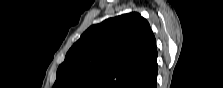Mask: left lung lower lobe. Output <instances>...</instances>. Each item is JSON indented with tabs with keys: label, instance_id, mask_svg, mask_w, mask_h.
Returning a JSON list of instances; mask_svg holds the SVG:
<instances>
[{
	"label": "left lung lower lobe",
	"instance_id": "0a47b994",
	"mask_svg": "<svg viewBox=\"0 0 223 88\" xmlns=\"http://www.w3.org/2000/svg\"><path fill=\"white\" fill-rule=\"evenodd\" d=\"M157 71V65L153 66L143 77L133 83L130 88H156Z\"/></svg>",
	"mask_w": 223,
	"mask_h": 88
}]
</instances>
